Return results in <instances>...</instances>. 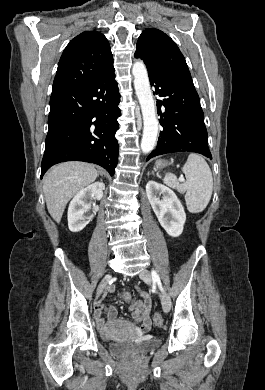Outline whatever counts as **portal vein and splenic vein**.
Masks as SVG:
<instances>
[{"mask_svg": "<svg viewBox=\"0 0 265 390\" xmlns=\"http://www.w3.org/2000/svg\"><path fill=\"white\" fill-rule=\"evenodd\" d=\"M179 181L180 182H184L185 181V179H184V177L182 175L179 177Z\"/></svg>", "mask_w": 265, "mask_h": 390, "instance_id": "portal-vein-and-splenic-vein-1", "label": "portal vein and splenic vein"}]
</instances>
